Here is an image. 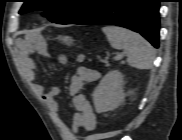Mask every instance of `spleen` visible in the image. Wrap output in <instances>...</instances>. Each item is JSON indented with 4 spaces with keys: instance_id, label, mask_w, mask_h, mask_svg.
Wrapping results in <instances>:
<instances>
[{
    "instance_id": "spleen-1",
    "label": "spleen",
    "mask_w": 182,
    "mask_h": 140,
    "mask_svg": "<svg viewBox=\"0 0 182 140\" xmlns=\"http://www.w3.org/2000/svg\"><path fill=\"white\" fill-rule=\"evenodd\" d=\"M102 30L113 48L127 52V62L131 67L152 68L155 52L141 35L118 26H106Z\"/></svg>"
}]
</instances>
